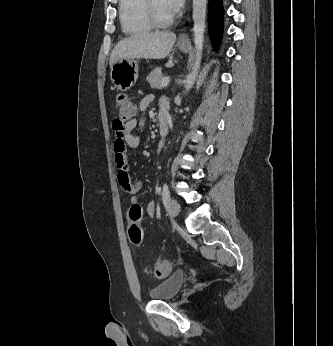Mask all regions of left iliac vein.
I'll use <instances>...</instances> for the list:
<instances>
[{"mask_svg": "<svg viewBox=\"0 0 333 346\" xmlns=\"http://www.w3.org/2000/svg\"><path fill=\"white\" fill-rule=\"evenodd\" d=\"M179 212H180V205L178 204V202L175 199L169 200V203H168L169 215L174 218L178 216Z\"/></svg>", "mask_w": 333, "mask_h": 346, "instance_id": "obj_1", "label": "left iliac vein"}]
</instances>
